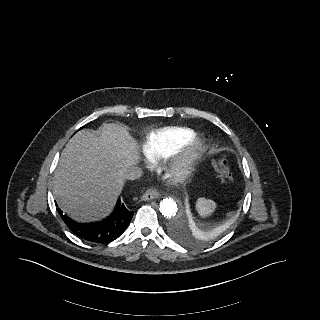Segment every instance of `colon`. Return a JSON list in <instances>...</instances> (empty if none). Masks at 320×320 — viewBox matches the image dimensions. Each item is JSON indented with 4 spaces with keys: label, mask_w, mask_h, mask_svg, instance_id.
I'll return each instance as SVG.
<instances>
[{
    "label": "colon",
    "mask_w": 320,
    "mask_h": 320,
    "mask_svg": "<svg viewBox=\"0 0 320 320\" xmlns=\"http://www.w3.org/2000/svg\"><path fill=\"white\" fill-rule=\"evenodd\" d=\"M217 172L219 178L224 182V183H231L232 182V177L229 171V167L227 164L226 159L222 158L218 161L217 163Z\"/></svg>",
    "instance_id": "1"
}]
</instances>
